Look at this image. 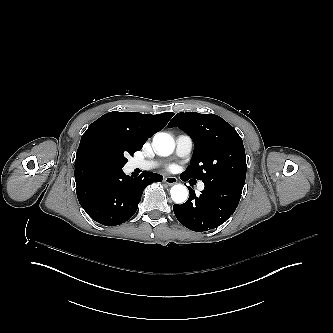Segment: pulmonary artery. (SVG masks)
<instances>
[{"label": "pulmonary artery", "instance_id": "e3ab8cb5", "mask_svg": "<svg viewBox=\"0 0 333 333\" xmlns=\"http://www.w3.org/2000/svg\"><path fill=\"white\" fill-rule=\"evenodd\" d=\"M193 149V141L192 138L187 134H180L176 138V148L175 155L181 158L188 157ZM163 165L162 161L159 160H151V161H135L133 164V168L138 167L144 170H152L158 168ZM203 182H199L198 189H203Z\"/></svg>", "mask_w": 333, "mask_h": 333}]
</instances>
